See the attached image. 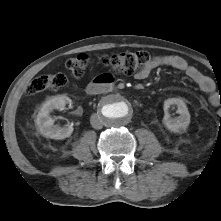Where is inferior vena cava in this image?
Masks as SVG:
<instances>
[{
  "mask_svg": "<svg viewBox=\"0 0 221 221\" xmlns=\"http://www.w3.org/2000/svg\"><path fill=\"white\" fill-rule=\"evenodd\" d=\"M90 123L94 129H101L103 127L102 118L98 114H93L91 116Z\"/></svg>",
  "mask_w": 221,
  "mask_h": 221,
  "instance_id": "obj_1",
  "label": "inferior vena cava"
}]
</instances>
